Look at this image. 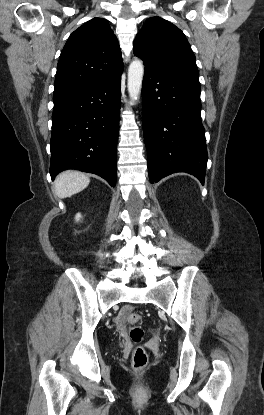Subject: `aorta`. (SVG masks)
Wrapping results in <instances>:
<instances>
[{
    "label": "aorta",
    "mask_w": 264,
    "mask_h": 415,
    "mask_svg": "<svg viewBox=\"0 0 264 415\" xmlns=\"http://www.w3.org/2000/svg\"><path fill=\"white\" fill-rule=\"evenodd\" d=\"M144 75V65L139 59L132 61L128 69V92L132 101L138 99Z\"/></svg>",
    "instance_id": "aorta-1"
}]
</instances>
